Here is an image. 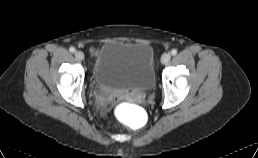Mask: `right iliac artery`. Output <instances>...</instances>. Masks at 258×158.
I'll list each match as a JSON object with an SVG mask.
<instances>
[{"label":"right iliac artery","instance_id":"1","mask_svg":"<svg viewBox=\"0 0 258 158\" xmlns=\"http://www.w3.org/2000/svg\"><path fill=\"white\" fill-rule=\"evenodd\" d=\"M69 50H70V52H72V53L75 52V48H74V47H70Z\"/></svg>","mask_w":258,"mask_h":158}]
</instances>
